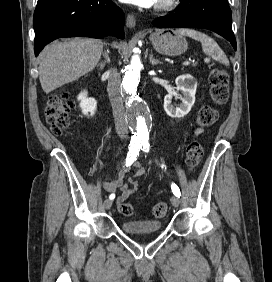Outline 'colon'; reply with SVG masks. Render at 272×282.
<instances>
[{"mask_svg":"<svg viewBox=\"0 0 272 282\" xmlns=\"http://www.w3.org/2000/svg\"><path fill=\"white\" fill-rule=\"evenodd\" d=\"M211 96L218 106H223L229 95V77L226 71L222 69H214L210 75ZM75 104L70 100L68 94L54 96L50 99L46 116L51 125L52 133L60 135L65 132L68 127L67 115L73 110ZM218 119V112L211 107H202L197 115V123L201 127L210 126ZM202 146L198 140L190 141L186 146L185 163L189 170H194L200 163L202 157ZM130 179L129 181H132ZM119 211L125 216H132L135 212L134 207L127 202L119 205ZM167 213V204L158 202L153 206L152 215L154 218H163Z\"/></svg>","mask_w":272,"mask_h":282,"instance_id":"5ec220e1","label":"colon"}]
</instances>
